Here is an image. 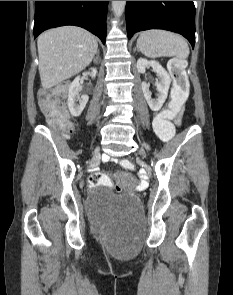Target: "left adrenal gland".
Returning <instances> with one entry per match:
<instances>
[{
    "mask_svg": "<svg viewBox=\"0 0 233 295\" xmlns=\"http://www.w3.org/2000/svg\"><path fill=\"white\" fill-rule=\"evenodd\" d=\"M136 50H137V48L135 47V48H134V51H136Z\"/></svg>",
    "mask_w": 233,
    "mask_h": 295,
    "instance_id": "1",
    "label": "left adrenal gland"
}]
</instances>
